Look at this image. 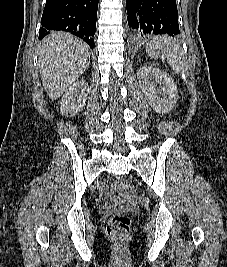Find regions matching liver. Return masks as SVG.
<instances>
[{"instance_id": "1", "label": "liver", "mask_w": 227, "mask_h": 267, "mask_svg": "<svg viewBox=\"0 0 227 267\" xmlns=\"http://www.w3.org/2000/svg\"><path fill=\"white\" fill-rule=\"evenodd\" d=\"M38 59L44 89L56 100L89 66L90 48L69 33L53 32L43 39Z\"/></svg>"}]
</instances>
